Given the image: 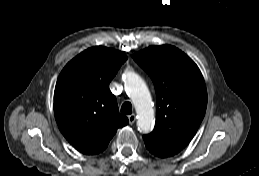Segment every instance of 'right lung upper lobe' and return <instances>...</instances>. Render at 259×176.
<instances>
[{"label":"right lung upper lobe","instance_id":"obj_1","mask_svg":"<svg viewBox=\"0 0 259 176\" xmlns=\"http://www.w3.org/2000/svg\"><path fill=\"white\" fill-rule=\"evenodd\" d=\"M127 60L106 47H91L62 70L54 92V113L64 137L86 155L102 152L128 118L119 113L109 83Z\"/></svg>","mask_w":259,"mask_h":176}]
</instances>
